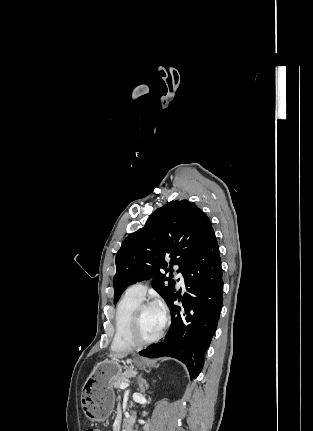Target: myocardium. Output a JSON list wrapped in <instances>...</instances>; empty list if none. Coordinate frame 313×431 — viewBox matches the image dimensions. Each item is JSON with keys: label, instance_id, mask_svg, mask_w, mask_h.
Listing matches in <instances>:
<instances>
[{"label": "myocardium", "instance_id": "1", "mask_svg": "<svg viewBox=\"0 0 313 431\" xmlns=\"http://www.w3.org/2000/svg\"><path fill=\"white\" fill-rule=\"evenodd\" d=\"M150 306H152V304L147 303V302H141L140 304L137 305V307L133 311L130 326H129V331H128V337H129L130 342L135 347H142V346L150 345V344L158 341L163 334L164 325L161 327L160 331L155 336H153L151 338L145 339V338H142L140 336L139 330H140V322H141L142 312L145 308L150 307Z\"/></svg>", "mask_w": 313, "mask_h": 431}]
</instances>
